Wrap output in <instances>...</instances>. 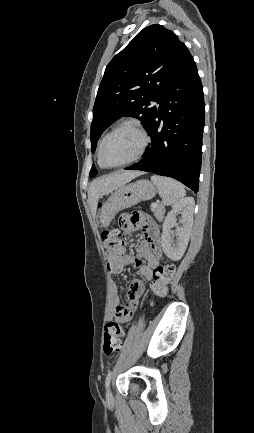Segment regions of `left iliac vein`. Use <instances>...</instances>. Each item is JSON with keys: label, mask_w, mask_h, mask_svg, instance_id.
<instances>
[{"label": "left iliac vein", "mask_w": 254, "mask_h": 433, "mask_svg": "<svg viewBox=\"0 0 254 433\" xmlns=\"http://www.w3.org/2000/svg\"><path fill=\"white\" fill-rule=\"evenodd\" d=\"M112 399H113V396H112L111 390L108 389V390H107V400H108V401H112Z\"/></svg>", "instance_id": "obj_1"}]
</instances>
